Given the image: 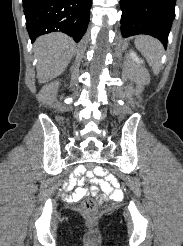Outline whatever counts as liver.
Wrapping results in <instances>:
<instances>
[{"mask_svg":"<svg viewBox=\"0 0 183 246\" xmlns=\"http://www.w3.org/2000/svg\"><path fill=\"white\" fill-rule=\"evenodd\" d=\"M74 47V41L62 33L39 37L34 44L38 82L46 83L61 75L72 58Z\"/></svg>","mask_w":183,"mask_h":246,"instance_id":"6515ba94","label":"liver"}]
</instances>
